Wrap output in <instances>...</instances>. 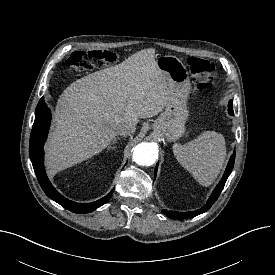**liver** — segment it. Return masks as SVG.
Segmentation results:
<instances>
[{
  "instance_id": "obj_1",
  "label": "liver",
  "mask_w": 275,
  "mask_h": 275,
  "mask_svg": "<svg viewBox=\"0 0 275 275\" xmlns=\"http://www.w3.org/2000/svg\"><path fill=\"white\" fill-rule=\"evenodd\" d=\"M169 96L153 48L73 82L55 108L45 146L48 169L56 171L100 153L117 136L119 123L136 125L138 118L158 115Z\"/></svg>"
}]
</instances>
